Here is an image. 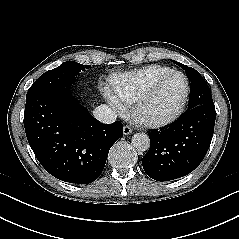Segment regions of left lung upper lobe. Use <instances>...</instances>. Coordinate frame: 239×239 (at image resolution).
<instances>
[{
    "instance_id": "5c2ea615",
    "label": "left lung upper lobe",
    "mask_w": 239,
    "mask_h": 239,
    "mask_svg": "<svg viewBox=\"0 0 239 239\" xmlns=\"http://www.w3.org/2000/svg\"><path fill=\"white\" fill-rule=\"evenodd\" d=\"M175 64L185 70L188 79L191 81L188 110L199 105L213 104L210 89L200 73L179 62Z\"/></svg>"
}]
</instances>
